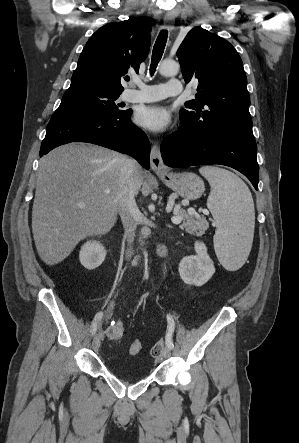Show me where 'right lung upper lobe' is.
<instances>
[{
	"label": "right lung upper lobe",
	"mask_w": 299,
	"mask_h": 443,
	"mask_svg": "<svg viewBox=\"0 0 299 443\" xmlns=\"http://www.w3.org/2000/svg\"><path fill=\"white\" fill-rule=\"evenodd\" d=\"M149 23L143 17L109 23L98 29L80 54L72 87H92L121 93V77L138 73L150 48Z\"/></svg>",
	"instance_id": "obj_1"
}]
</instances>
